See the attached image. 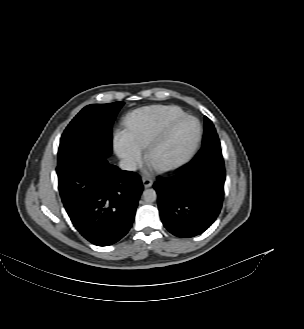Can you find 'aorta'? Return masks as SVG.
Instances as JSON below:
<instances>
[{"label":"aorta","mask_w":304,"mask_h":329,"mask_svg":"<svg viewBox=\"0 0 304 329\" xmlns=\"http://www.w3.org/2000/svg\"><path fill=\"white\" fill-rule=\"evenodd\" d=\"M143 199L147 203H152V202L156 201V199H157L156 191L154 189H146V190H144V192H143Z\"/></svg>","instance_id":"1"}]
</instances>
